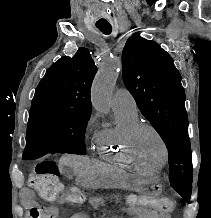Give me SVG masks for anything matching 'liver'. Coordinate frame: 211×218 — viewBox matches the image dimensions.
<instances>
[{"label":"liver","mask_w":211,"mask_h":218,"mask_svg":"<svg viewBox=\"0 0 211 218\" xmlns=\"http://www.w3.org/2000/svg\"><path fill=\"white\" fill-rule=\"evenodd\" d=\"M60 164L70 166L77 176H85L92 166V160L84 158V156H63L60 158Z\"/></svg>","instance_id":"6515ba94"}]
</instances>
